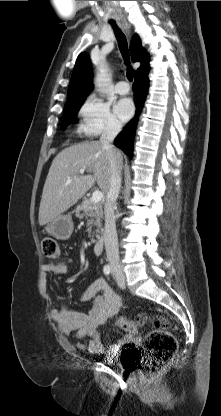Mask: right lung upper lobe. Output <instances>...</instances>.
I'll return each mask as SVG.
<instances>
[{"label":"right lung upper lobe","mask_w":221,"mask_h":416,"mask_svg":"<svg viewBox=\"0 0 221 416\" xmlns=\"http://www.w3.org/2000/svg\"><path fill=\"white\" fill-rule=\"evenodd\" d=\"M130 54L133 62L140 61L141 66L135 71V75L149 70L148 55L141 45L140 38L135 35L130 46ZM92 66L89 56L82 52L75 63L71 81L67 93V102L84 99L92 90Z\"/></svg>","instance_id":"1"}]
</instances>
